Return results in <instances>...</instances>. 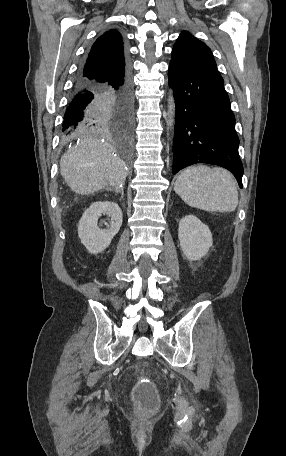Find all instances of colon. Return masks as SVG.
Listing matches in <instances>:
<instances>
[{
	"mask_svg": "<svg viewBox=\"0 0 286 456\" xmlns=\"http://www.w3.org/2000/svg\"><path fill=\"white\" fill-rule=\"evenodd\" d=\"M133 396L139 411H150L158 405L157 390L148 379H141L133 390Z\"/></svg>",
	"mask_w": 286,
	"mask_h": 456,
	"instance_id": "obj_1",
	"label": "colon"
}]
</instances>
